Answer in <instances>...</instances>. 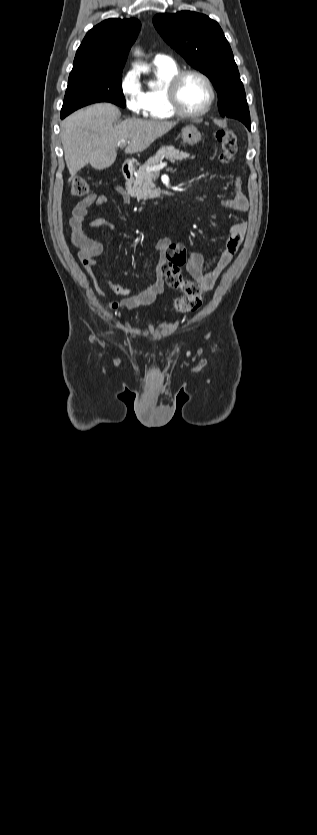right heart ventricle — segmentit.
Wrapping results in <instances>:
<instances>
[{"label":"right heart ventricle","mask_w":317,"mask_h":835,"mask_svg":"<svg viewBox=\"0 0 317 835\" xmlns=\"http://www.w3.org/2000/svg\"><path fill=\"white\" fill-rule=\"evenodd\" d=\"M155 84L145 92L147 115L151 119L165 120L176 117L167 93L171 78L180 71L179 66L172 60L154 63Z\"/></svg>","instance_id":"1"}]
</instances>
